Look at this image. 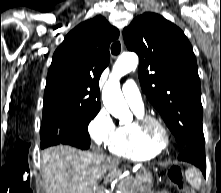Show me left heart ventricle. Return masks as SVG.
<instances>
[{
	"mask_svg": "<svg viewBox=\"0 0 221 193\" xmlns=\"http://www.w3.org/2000/svg\"><path fill=\"white\" fill-rule=\"evenodd\" d=\"M156 133H157L159 136H161V132H160V130H159L158 128H156Z\"/></svg>",
	"mask_w": 221,
	"mask_h": 193,
	"instance_id": "obj_1",
	"label": "left heart ventricle"
}]
</instances>
